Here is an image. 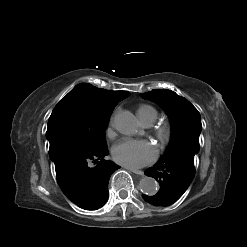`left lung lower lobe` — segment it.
I'll list each match as a JSON object with an SVG mask.
<instances>
[{
	"label": "left lung lower lobe",
	"mask_w": 247,
	"mask_h": 247,
	"mask_svg": "<svg viewBox=\"0 0 247 247\" xmlns=\"http://www.w3.org/2000/svg\"><path fill=\"white\" fill-rule=\"evenodd\" d=\"M194 156L186 151L163 156L159 162L145 171L160 184L154 196L142 195L144 200L155 206H168L176 202L189 187L195 174Z\"/></svg>",
	"instance_id": "1"
}]
</instances>
